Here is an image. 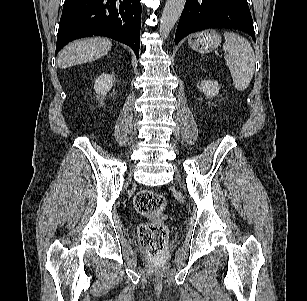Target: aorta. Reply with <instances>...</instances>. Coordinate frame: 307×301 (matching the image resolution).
I'll return each instance as SVG.
<instances>
[{"label":"aorta","instance_id":"762f6f07","mask_svg":"<svg viewBox=\"0 0 307 301\" xmlns=\"http://www.w3.org/2000/svg\"><path fill=\"white\" fill-rule=\"evenodd\" d=\"M186 0H167L161 19H160V34L166 38L176 22L179 20L183 11Z\"/></svg>","mask_w":307,"mask_h":301}]
</instances>
